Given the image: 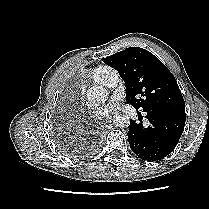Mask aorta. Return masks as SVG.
<instances>
[{"instance_id": "aorta-1", "label": "aorta", "mask_w": 209, "mask_h": 209, "mask_svg": "<svg viewBox=\"0 0 209 209\" xmlns=\"http://www.w3.org/2000/svg\"><path fill=\"white\" fill-rule=\"evenodd\" d=\"M87 99L92 103H104L108 99V91L102 86H93L87 90ZM114 123L118 127H128L130 124V118L127 114H118Z\"/></svg>"}]
</instances>
